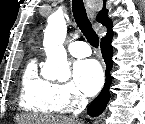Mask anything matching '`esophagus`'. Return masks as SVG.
Segmentation results:
<instances>
[{"label": "esophagus", "mask_w": 145, "mask_h": 124, "mask_svg": "<svg viewBox=\"0 0 145 124\" xmlns=\"http://www.w3.org/2000/svg\"><path fill=\"white\" fill-rule=\"evenodd\" d=\"M86 3H87V6H86L87 12L91 17H93L94 11L98 9V6L95 3H93V1L91 0H86Z\"/></svg>", "instance_id": "1"}]
</instances>
